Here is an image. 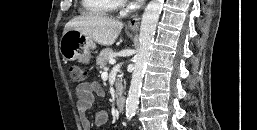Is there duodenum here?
<instances>
[{
    "label": "duodenum",
    "mask_w": 257,
    "mask_h": 130,
    "mask_svg": "<svg viewBox=\"0 0 257 130\" xmlns=\"http://www.w3.org/2000/svg\"><path fill=\"white\" fill-rule=\"evenodd\" d=\"M116 106L119 112H123L125 109V97L120 95L117 97Z\"/></svg>",
    "instance_id": "1"
}]
</instances>
